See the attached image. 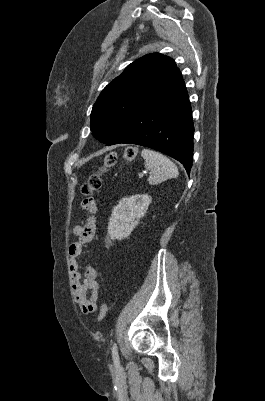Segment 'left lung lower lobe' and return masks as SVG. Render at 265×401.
Segmentation results:
<instances>
[{
  "label": "left lung lower lobe",
  "mask_w": 265,
  "mask_h": 401,
  "mask_svg": "<svg viewBox=\"0 0 265 401\" xmlns=\"http://www.w3.org/2000/svg\"><path fill=\"white\" fill-rule=\"evenodd\" d=\"M192 110L182 76L145 105L106 145L137 144L160 151L183 164L188 174L193 157Z\"/></svg>",
  "instance_id": "obj_1"
}]
</instances>
